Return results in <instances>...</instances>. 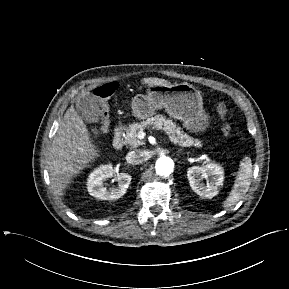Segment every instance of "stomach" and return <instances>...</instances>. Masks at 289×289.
<instances>
[{"mask_svg":"<svg viewBox=\"0 0 289 289\" xmlns=\"http://www.w3.org/2000/svg\"><path fill=\"white\" fill-rule=\"evenodd\" d=\"M131 108L139 119H146L157 109L164 108L171 117L183 121V126L190 132H204L209 126L200 91L186 82L149 86L146 94L133 98Z\"/></svg>","mask_w":289,"mask_h":289,"instance_id":"0dacf381","label":"stomach"}]
</instances>
